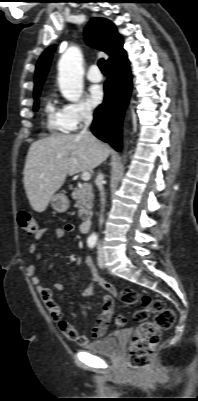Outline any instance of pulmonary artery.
Instances as JSON below:
<instances>
[{"mask_svg": "<svg viewBox=\"0 0 198 401\" xmlns=\"http://www.w3.org/2000/svg\"><path fill=\"white\" fill-rule=\"evenodd\" d=\"M86 77L90 82L93 83L101 82L103 79L102 73L97 65L90 66Z\"/></svg>", "mask_w": 198, "mask_h": 401, "instance_id": "obj_1", "label": "pulmonary artery"}]
</instances>
